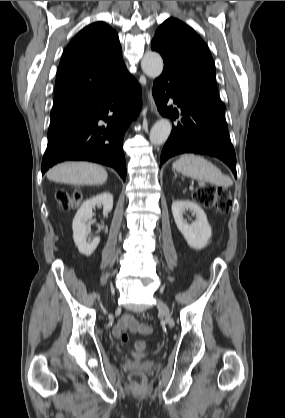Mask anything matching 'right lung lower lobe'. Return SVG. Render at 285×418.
I'll return each mask as SVG.
<instances>
[{"instance_id":"1","label":"right lung lower lobe","mask_w":285,"mask_h":418,"mask_svg":"<svg viewBox=\"0 0 285 418\" xmlns=\"http://www.w3.org/2000/svg\"><path fill=\"white\" fill-rule=\"evenodd\" d=\"M141 100L139 83L129 75L121 84L51 119L42 174L66 160H85L117 170L125 180L123 139ZM99 120L106 122L99 126Z\"/></svg>"}]
</instances>
